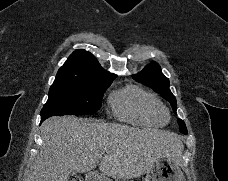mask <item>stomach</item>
<instances>
[{
	"mask_svg": "<svg viewBox=\"0 0 228 181\" xmlns=\"http://www.w3.org/2000/svg\"><path fill=\"white\" fill-rule=\"evenodd\" d=\"M144 181H186L181 169L167 155L157 157L153 169L146 173Z\"/></svg>",
	"mask_w": 228,
	"mask_h": 181,
	"instance_id": "obj_1",
	"label": "stomach"
}]
</instances>
